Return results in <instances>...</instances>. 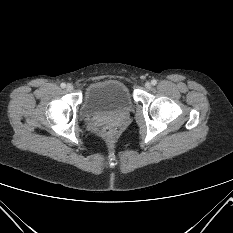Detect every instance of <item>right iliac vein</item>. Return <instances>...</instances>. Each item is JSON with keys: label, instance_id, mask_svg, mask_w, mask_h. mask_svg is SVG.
<instances>
[{"label": "right iliac vein", "instance_id": "63e3f726", "mask_svg": "<svg viewBox=\"0 0 233 233\" xmlns=\"http://www.w3.org/2000/svg\"><path fill=\"white\" fill-rule=\"evenodd\" d=\"M73 85L72 84H67V86H66V90L68 91V92H71L72 90H73Z\"/></svg>", "mask_w": 233, "mask_h": 233}]
</instances>
